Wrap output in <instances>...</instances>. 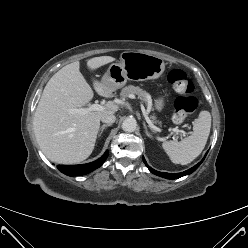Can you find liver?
<instances>
[{
	"label": "liver",
	"mask_w": 248,
	"mask_h": 248,
	"mask_svg": "<svg viewBox=\"0 0 248 248\" xmlns=\"http://www.w3.org/2000/svg\"><path fill=\"white\" fill-rule=\"evenodd\" d=\"M115 61L111 56L94 57L87 61L90 71ZM75 61L60 69L46 84L37 105L33 127L36 140L46 157L60 164H74L87 159L95 146L102 116L114 114L118 106L107 104L102 111L86 115L69 113L80 108L94 96L93 90ZM98 95L111 97L115 89L102 80L92 79Z\"/></svg>",
	"instance_id": "liver-1"
}]
</instances>
